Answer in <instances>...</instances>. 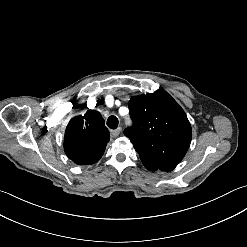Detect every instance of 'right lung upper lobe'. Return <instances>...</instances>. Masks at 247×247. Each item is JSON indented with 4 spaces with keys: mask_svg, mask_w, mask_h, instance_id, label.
<instances>
[{
    "mask_svg": "<svg viewBox=\"0 0 247 247\" xmlns=\"http://www.w3.org/2000/svg\"><path fill=\"white\" fill-rule=\"evenodd\" d=\"M110 139L104 119L96 110L72 118L64 136V151L78 165H91L100 160Z\"/></svg>",
    "mask_w": 247,
    "mask_h": 247,
    "instance_id": "right-lung-upper-lobe-1",
    "label": "right lung upper lobe"
}]
</instances>
